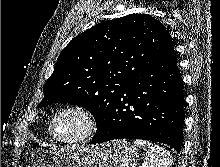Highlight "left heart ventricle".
Here are the masks:
<instances>
[{"label":"left heart ventricle","mask_w":220,"mask_h":167,"mask_svg":"<svg viewBox=\"0 0 220 167\" xmlns=\"http://www.w3.org/2000/svg\"><path fill=\"white\" fill-rule=\"evenodd\" d=\"M84 128L82 118L74 113L61 116L55 123L54 132L58 137L71 138L78 135Z\"/></svg>","instance_id":"obj_1"}]
</instances>
